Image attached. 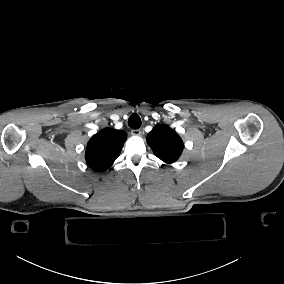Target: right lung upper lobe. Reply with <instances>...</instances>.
Returning a JSON list of instances; mask_svg holds the SVG:
<instances>
[{
    "label": "right lung upper lobe",
    "instance_id": "obj_1",
    "mask_svg": "<svg viewBox=\"0 0 284 284\" xmlns=\"http://www.w3.org/2000/svg\"><path fill=\"white\" fill-rule=\"evenodd\" d=\"M127 134L113 128L102 129L93 135L86 148L85 159L94 171L108 169L118 158Z\"/></svg>",
    "mask_w": 284,
    "mask_h": 284
}]
</instances>
